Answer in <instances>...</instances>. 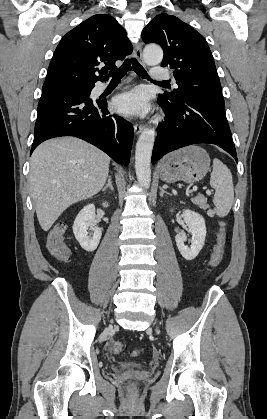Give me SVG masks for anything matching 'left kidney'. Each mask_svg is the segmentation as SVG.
<instances>
[{"label": "left kidney", "mask_w": 267, "mask_h": 419, "mask_svg": "<svg viewBox=\"0 0 267 419\" xmlns=\"http://www.w3.org/2000/svg\"><path fill=\"white\" fill-rule=\"evenodd\" d=\"M183 219L188 226V232L192 235L191 246L188 247L184 244L185 236L183 234H177L175 241L181 255L186 260H193L199 254L205 243V220L199 213L189 209L183 210Z\"/></svg>", "instance_id": "5707ae66"}]
</instances>
